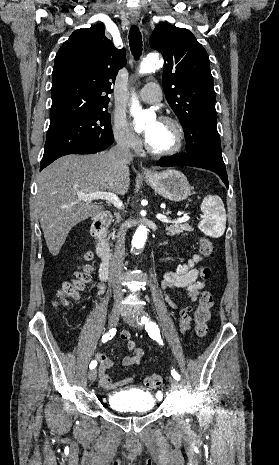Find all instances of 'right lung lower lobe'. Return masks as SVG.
<instances>
[{
  "instance_id": "1",
  "label": "right lung lower lobe",
  "mask_w": 279,
  "mask_h": 465,
  "mask_svg": "<svg viewBox=\"0 0 279 465\" xmlns=\"http://www.w3.org/2000/svg\"><path fill=\"white\" fill-rule=\"evenodd\" d=\"M109 146L110 145H86V146H82V147L67 151L64 154L60 155L59 157L64 156V155H68V154H92V153L102 151V150L106 149ZM59 157H57V158H59ZM56 159H54V160H56ZM54 160H52V161H50L48 163H45V164H41L40 165V171L43 168H45L46 166H48L50 163H52Z\"/></svg>"
}]
</instances>
